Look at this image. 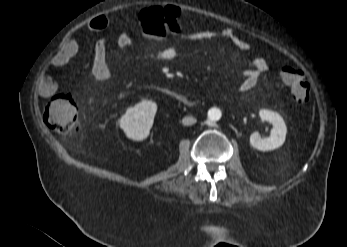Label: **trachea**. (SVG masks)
<instances>
[{
	"label": "trachea",
	"instance_id": "1",
	"mask_svg": "<svg viewBox=\"0 0 347 247\" xmlns=\"http://www.w3.org/2000/svg\"><path fill=\"white\" fill-rule=\"evenodd\" d=\"M222 247H232V245L223 244Z\"/></svg>",
	"mask_w": 347,
	"mask_h": 247
}]
</instances>
